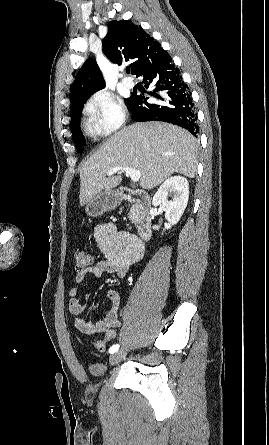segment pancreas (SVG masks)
<instances>
[{
	"label": "pancreas",
	"instance_id": "cf45deb5",
	"mask_svg": "<svg viewBox=\"0 0 269 445\" xmlns=\"http://www.w3.org/2000/svg\"><path fill=\"white\" fill-rule=\"evenodd\" d=\"M129 220H131L132 223H136L139 219V209L137 205H133L130 209V212L128 214Z\"/></svg>",
	"mask_w": 269,
	"mask_h": 445
}]
</instances>
